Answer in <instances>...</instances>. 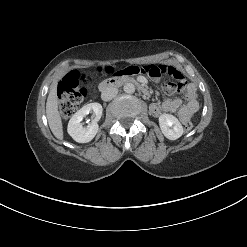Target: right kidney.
I'll return each instance as SVG.
<instances>
[{"label": "right kidney", "instance_id": "ca27d5eb", "mask_svg": "<svg viewBox=\"0 0 247 247\" xmlns=\"http://www.w3.org/2000/svg\"><path fill=\"white\" fill-rule=\"evenodd\" d=\"M103 108L99 103H90L78 110L68 123V134L78 143L90 142L98 132V121L102 116ZM93 113L94 119L86 127L81 123L83 118Z\"/></svg>", "mask_w": 247, "mask_h": 247}]
</instances>
